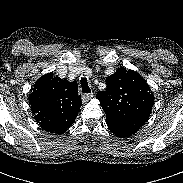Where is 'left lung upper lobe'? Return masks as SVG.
Instances as JSON below:
<instances>
[{
    "label": "left lung upper lobe",
    "mask_w": 183,
    "mask_h": 183,
    "mask_svg": "<svg viewBox=\"0 0 183 183\" xmlns=\"http://www.w3.org/2000/svg\"><path fill=\"white\" fill-rule=\"evenodd\" d=\"M107 88L96 94L106 121L140 128L148 120L154 95L143 77L133 70L119 68L106 78Z\"/></svg>",
    "instance_id": "obj_1"
}]
</instances>
